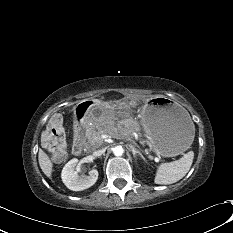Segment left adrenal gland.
Masks as SVG:
<instances>
[{"label": "left adrenal gland", "mask_w": 233, "mask_h": 233, "mask_svg": "<svg viewBox=\"0 0 233 233\" xmlns=\"http://www.w3.org/2000/svg\"><path fill=\"white\" fill-rule=\"evenodd\" d=\"M130 148L132 150V154H133V157L136 159L137 155H139L143 160H145L144 156L142 155V153L137 150L133 145H130Z\"/></svg>", "instance_id": "obj_1"}]
</instances>
